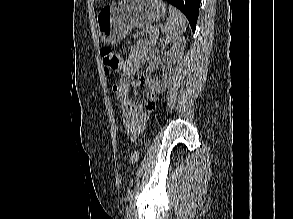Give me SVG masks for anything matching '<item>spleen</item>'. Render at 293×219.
Instances as JSON below:
<instances>
[{
    "label": "spleen",
    "mask_w": 293,
    "mask_h": 219,
    "mask_svg": "<svg viewBox=\"0 0 293 219\" xmlns=\"http://www.w3.org/2000/svg\"><path fill=\"white\" fill-rule=\"evenodd\" d=\"M169 12V19L163 26L162 32L166 36L178 37L186 30V19L179 10L171 5L169 6Z\"/></svg>",
    "instance_id": "spleen-1"
}]
</instances>
